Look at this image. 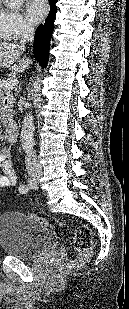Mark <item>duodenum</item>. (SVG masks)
<instances>
[{"mask_svg": "<svg viewBox=\"0 0 129 309\" xmlns=\"http://www.w3.org/2000/svg\"><path fill=\"white\" fill-rule=\"evenodd\" d=\"M18 125L14 121H9L5 127V137L9 142H15L18 137Z\"/></svg>", "mask_w": 129, "mask_h": 309, "instance_id": "duodenum-1", "label": "duodenum"}]
</instances>
